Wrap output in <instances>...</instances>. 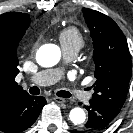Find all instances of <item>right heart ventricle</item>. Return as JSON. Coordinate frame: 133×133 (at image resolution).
Returning a JSON list of instances; mask_svg holds the SVG:
<instances>
[{"instance_id": "e07e8e85", "label": "right heart ventricle", "mask_w": 133, "mask_h": 133, "mask_svg": "<svg viewBox=\"0 0 133 133\" xmlns=\"http://www.w3.org/2000/svg\"><path fill=\"white\" fill-rule=\"evenodd\" d=\"M63 51H79L84 44V38L76 27H66L58 33Z\"/></svg>"}]
</instances>
